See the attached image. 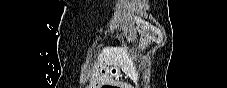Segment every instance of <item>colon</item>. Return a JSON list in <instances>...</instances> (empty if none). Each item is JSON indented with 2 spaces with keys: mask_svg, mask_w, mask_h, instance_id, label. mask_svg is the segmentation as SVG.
<instances>
[{
  "mask_svg": "<svg viewBox=\"0 0 227 88\" xmlns=\"http://www.w3.org/2000/svg\"><path fill=\"white\" fill-rule=\"evenodd\" d=\"M103 87H104V88H113V87H115V86L110 85V84H107V85H104Z\"/></svg>",
  "mask_w": 227,
  "mask_h": 88,
  "instance_id": "5ec220e1",
  "label": "colon"
}]
</instances>
